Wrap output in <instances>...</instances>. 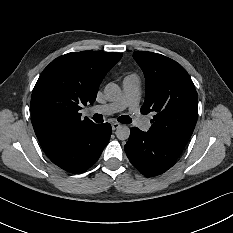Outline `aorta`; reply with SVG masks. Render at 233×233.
Wrapping results in <instances>:
<instances>
[{
    "mask_svg": "<svg viewBox=\"0 0 233 233\" xmlns=\"http://www.w3.org/2000/svg\"><path fill=\"white\" fill-rule=\"evenodd\" d=\"M105 98L107 101L114 102L117 101L121 95V88L115 83H109L105 86ZM116 136L120 140H126L130 136V128L126 124L120 125V127L116 130Z\"/></svg>",
    "mask_w": 233,
    "mask_h": 233,
    "instance_id": "obj_1",
    "label": "aorta"
}]
</instances>
